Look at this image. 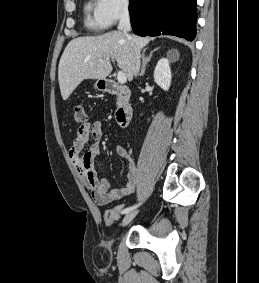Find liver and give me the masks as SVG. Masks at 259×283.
I'll return each mask as SVG.
<instances>
[{
  "label": "liver",
  "mask_w": 259,
  "mask_h": 283,
  "mask_svg": "<svg viewBox=\"0 0 259 283\" xmlns=\"http://www.w3.org/2000/svg\"><path fill=\"white\" fill-rule=\"evenodd\" d=\"M149 37L111 31L99 36L78 37L66 46L59 62L58 80L63 100H67L85 79L105 80L112 71L106 58L115 59L129 81L134 76V50L139 53Z\"/></svg>",
  "instance_id": "liver-1"
}]
</instances>
